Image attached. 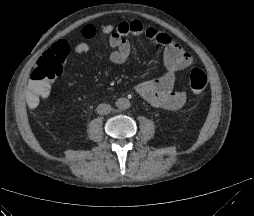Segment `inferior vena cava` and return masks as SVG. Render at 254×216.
<instances>
[{
    "label": "inferior vena cava",
    "mask_w": 254,
    "mask_h": 216,
    "mask_svg": "<svg viewBox=\"0 0 254 216\" xmlns=\"http://www.w3.org/2000/svg\"><path fill=\"white\" fill-rule=\"evenodd\" d=\"M97 113L100 115H107L111 112V106L109 104H100L97 109Z\"/></svg>",
    "instance_id": "obj_1"
}]
</instances>
